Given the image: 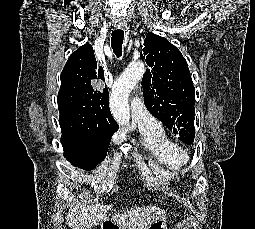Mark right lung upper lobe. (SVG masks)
<instances>
[{"label": "right lung upper lobe", "instance_id": "obj_1", "mask_svg": "<svg viewBox=\"0 0 255 229\" xmlns=\"http://www.w3.org/2000/svg\"><path fill=\"white\" fill-rule=\"evenodd\" d=\"M96 79L104 80V71L86 43L70 55L61 73L57 102L63 134L112 137L119 128L110 112L108 89L93 88Z\"/></svg>", "mask_w": 255, "mask_h": 229}]
</instances>
